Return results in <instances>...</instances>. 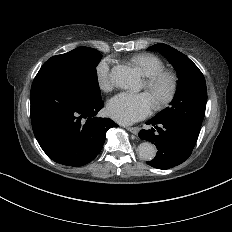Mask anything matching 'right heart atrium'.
I'll use <instances>...</instances> for the list:
<instances>
[{
	"mask_svg": "<svg viewBox=\"0 0 232 232\" xmlns=\"http://www.w3.org/2000/svg\"><path fill=\"white\" fill-rule=\"evenodd\" d=\"M109 63L108 59H104L97 68L98 80L103 84L107 83L109 79Z\"/></svg>",
	"mask_w": 232,
	"mask_h": 232,
	"instance_id": "right-heart-atrium-1",
	"label": "right heart atrium"
}]
</instances>
